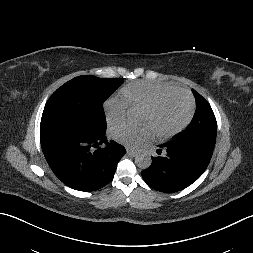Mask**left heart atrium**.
I'll list each match as a JSON object with an SVG mask.
<instances>
[{
	"label": "left heart atrium",
	"mask_w": 253,
	"mask_h": 253,
	"mask_svg": "<svg viewBox=\"0 0 253 253\" xmlns=\"http://www.w3.org/2000/svg\"><path fill=\"white\" fill-rule=\"evenodd\" d=\"M114 140L129 147L137 146L153 136L151 127L144 123L139 126L115 125L111 129Z\"/></svg>",
	"instance_id": "1"
}]
</instances>
